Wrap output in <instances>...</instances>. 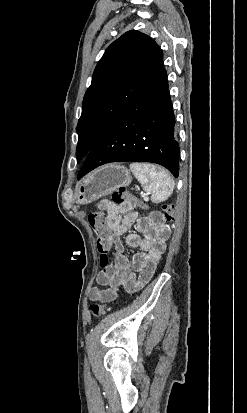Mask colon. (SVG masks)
I'll return each instance as SVG.
<instances>
[{"instance_id": "1", "label": "colon", "mask_w": 247, "mask_h": 413, "mask_svg": "<svg viewBox=\"0 0 247 413\" xmlns=\"http://www.w3.org/2000/svg\"><path fill=\"white\" fill-rule=\"evenodd\" d=\"M112 199L116 203H124L126 205L132 204L134 207H139L141 205V200L136 195H127V192L123 188L117 189L113 195ZM175 206L173 203L163 204L161 207V215L165 217L167 224L174 222ZM87 220L89 222L90 228L93 230L94 234H97L99 240L97 241V252L100 253V258L104 264L109 262L108 253L110 252V235L109 226L106 225L105 216L103 212L94 211L88 215ZM154 263V262H152ZM92 318H99L107 310L105 304H91L89 307Z\"/></svg>"}]
</instances>
